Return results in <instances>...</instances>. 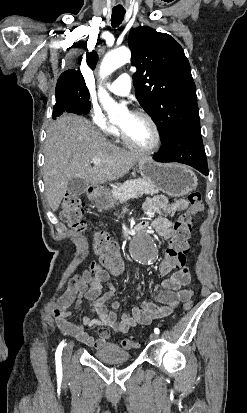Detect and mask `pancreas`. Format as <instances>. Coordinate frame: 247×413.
I'll use <instances>...</instances> for the list:
<instances>
[{
  "label": "pancreas",
  "mask_w": 247,
  "mask_h": 413,
  "mask_svg": "<svg viewBox=\"0 0 247 413\" xmlns=\"http://www.w3.org/2000/svg\"><path fill=\"white\" fill-rule=\"evenodd\" d=\"M110 192L113 198L119 202H125L129 198H136L141 194H156L159 190L144 178H130V180H125L123 184H120V188H112Z\"/></svg>",
  "instance_id": "obj_1"
}]
</instances>
